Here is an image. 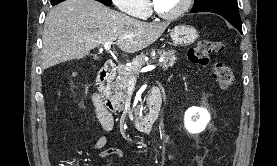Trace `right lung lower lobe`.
Instances as JSON below:
<instances>
[{
    "label": "right lung lower lobe",
    "mask_w": 277,
    "mask_h": 166,
    "mask_svg": "<svg viewBox=\"0 0 277 166\" xmlns=\"http://www.w3.org/2000/svg\"><path fill=\"white\" fill-rule=\"evenodd\" d=\"M63 1H65V0H51V4L54 6V5H56V4L60 3V2H63ZM97 1H99V0H97Z\"/></svg>",
    "instance_id": "right-lung-lower-lobe-1"
}]
</instances>
